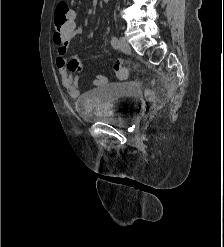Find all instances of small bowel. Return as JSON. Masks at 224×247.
I'll return each mask as SVG.
<instances>
[{
	"label": "small bowel",
	"mask_w": 224,
	"mask_h": 247,
	"mask_svg": "<svg viewBox=\"0 0 224 247\" xmlns=\"http://www.w3.org/2000/svg\"><path fill=\"white\" fill-rule=\"evenodd\" d=\"M83 32V26L74 24V35L81 34ZM71 38L61 37L54 33L53 44L57 48V55L55 58V64L60 74V79L63 87L65 88L68 96L70 98H77L80 95L79 80L80 76H73L72 73L68 71V52L69 43ZM115 65L121 66L120 63ZM108 82L107 77L104 75H95L93 80V85L95 87L101 86Z\"/></svg>",
	"instance_id": "obj_1"
}]
</instances>
